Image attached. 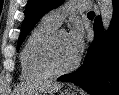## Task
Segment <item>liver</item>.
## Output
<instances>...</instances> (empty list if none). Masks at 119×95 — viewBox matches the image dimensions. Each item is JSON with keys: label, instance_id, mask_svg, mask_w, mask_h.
Instances as JSON below:
<instances>
[{"label": "liver", "instance_id": "6515ba94", "mask_svg": "<svg viewBox=\"0 0 119 95\" xmlns=\"http://www.w3.org/2000/svg\"><path fill=\"white\" fill-rule=\"evenodd\" d=\"M63 84L53 82V81H45V82H36L33 84H23L21 87L17 89L16 95H53V93L57 92L62 88Z\"/></svg>", "mask_w": 119, "mask_h": 95}]
</instances>
